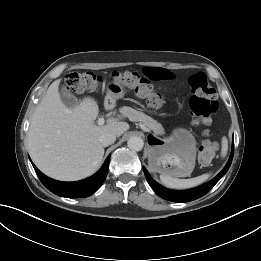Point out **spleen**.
<instances>
[{
	"mask_svg": "<svg viewBox=\"0 0 261 261\" xmlns=\"http://www.w3.org/2000/svg\"><path fill=\"white\" fill-rule=\"evenodd\" d=\"M228 150V141L227 138L222 139V147H221V155L225 156L227 154ZM209 178V174H202L198 177L195 178H190V179H177L168 175H160V180L161 182L173 189H187L191 187H195L204 181H206Z\"/></svg>",
	"mask_w": 261,
	"mask_h": 261,
	"instance_id": "1",
	"label": "spleen"
}]
</instances>
